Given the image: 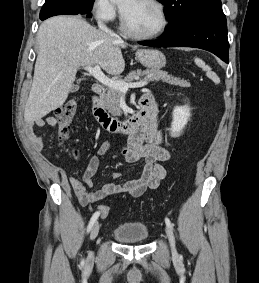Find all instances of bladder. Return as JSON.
Returning <instances> with one entry per match:
<instances>
[{"label":"bladder","mask_w":259,"mask_h":283,"mask_svg":"<svg viewBox=\"0 0 259 283\" xmlns=\"http://www.w3.org/2000/svg\"><path fill=\"white\" fill-rule=\"evenodd\" d=\"M113 237L120 242H142L148 240L149 229L141 222H126L114 229Z\"/></svg>","instance_id":"obj_1"}]
</instances>
